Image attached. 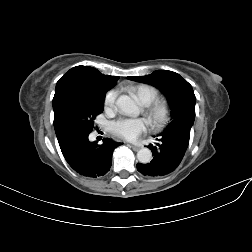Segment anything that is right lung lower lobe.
Instances as JSON below:
<instances>
[{
    "label": "right lung lower lobe",
    "mask_w": 252,
    "mask_h": 252,
    "mask_svg": "<svg viewBox=\"0 0 252 252\" xmlns=\"http://www.w3.org/2000/svg\"><path fill=\"white\" fill-rule=\"evenodd\" d=\"M89 133H69L59 142L65 160L80 175L97 178L105 175L112 164V154L121 143L110 138L101 145L88 140Z\"/></svg>",
    "instance_id": "obj_1"
}]
</instances>
